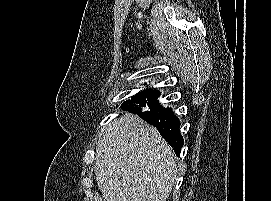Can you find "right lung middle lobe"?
<instances>
[{
  "mask_svg": "<svg viewBox=\"0 0 271 201\" xmlns=\"http://www.w3.org/2000/svg\"><path fill=\"white\" fill-rule=\"evenodd\" d=\"M144 91H142V92H139L138 94H140V93H143Z\"/></svg>",
  "mask_w": 271,
  "mask_h": 201,
  "instance_id": "dd1d6c3e",
  "label": "right lung middle lobe"
}]
</instances>
